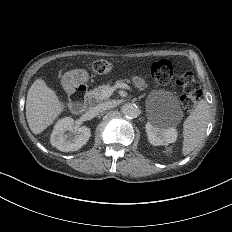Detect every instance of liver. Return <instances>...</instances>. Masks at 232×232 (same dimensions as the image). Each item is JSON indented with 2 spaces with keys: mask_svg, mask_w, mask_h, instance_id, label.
Wrapping results in <instances>:
<instances>
[{
  "mask_svg": "<svg viewBox=\"0 0 232 232\" xmlns=\"http://www.w3.org/2000/svg\"><path fill=\"white\" fill-rule=\"evenodd\" d=\"M71 104L61 101L43 78L36 79L27 92L26 119L33 134L50 127Z\"/></svg>",
  "mask_w": 232,
  "mask_h": 232,
  "instance_id": "liver-1",
  "label": "liver"
}]
</instances>
